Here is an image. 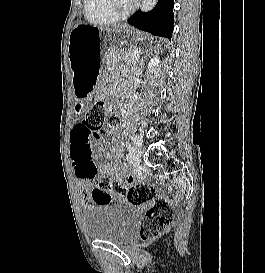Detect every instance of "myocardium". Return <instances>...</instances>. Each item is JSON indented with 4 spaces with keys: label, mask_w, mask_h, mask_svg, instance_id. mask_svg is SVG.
<instances>
[{
    "label": "myocardium",
    "mask_w": 265,
    "mask_h": 273,
    "mask_svg": "<svg viewBox=\"0 0 265 273\" xmlns=\"http://www.w3.org/2000/svg\"><path fill=\"white\" fill-rule=\"evenodd\" d=\"M105 2H106V8L108 9V11L112 15H114L117 19L126 18L128 15H130L134 11L137 5L135 1V2H131L130 5L126 7L125 9H120L117 5L116 0H105Z\"/></svg>",
    "instance_id": "myocardium-1"
}]
</instances>
